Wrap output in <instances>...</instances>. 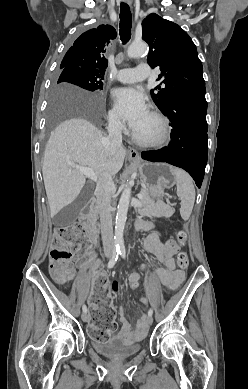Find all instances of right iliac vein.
Instances as JSON below:
<instances>
[{
    "label": "right iliac vein",
    "mask_w": 248,
    "mask_h": 389,
    "mask_svg": "<svg viewBox=\"0 0 248 389\" xmlns=\"http://www.w3.org/2000/svg\"><path fill=\"white\" fill-rule=\"evenodd\" d=\"M81 318H82V320H83L84 322H88L89 319H90V316H89V314L83 312L82 315H81Z\"/></svg>",
    "instance_id": "obj_1"
}]
</instances>
